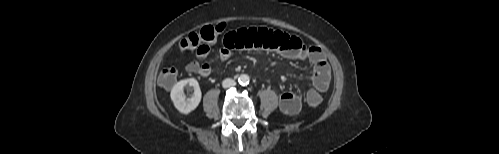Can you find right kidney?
Listing matches in <instances>:
<instances>
[{"label":"right kidney","mask_w":499,"mask_h":154,"mask_svg":"<svg viewBox=\"0 0 499 154\" xmlns=\"http://www.w3.org/2000/svg\"><path fill=\"white\" fill-rule=\"evenodd\" d=\"M191 87L193 91V95L190 98L185 97L183 95V88L185 86ZM171 100L175 106V108L182 114H189L191 111L195 110L199 105L202 93L199 87V83L194 78H188L177 82L170 94Z\"/></svg>","instance_id":"1"}]
</instances>
